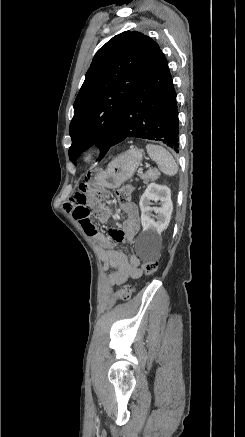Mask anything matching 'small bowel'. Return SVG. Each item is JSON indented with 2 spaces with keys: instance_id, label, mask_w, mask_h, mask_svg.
<instances>
[{
  "instance_id": "obj_1",
  "label": "small bowel",
  "mask_w": 245,
  "mask_h": 437,
  "mask_svg": "<svg viewBox=\"0 0 245 437\" xmlns=\"http://www.w3.org/2000/svg\"><path fill=\"white\" fill-rule=\"evenodd\" d=\"M77 192L65 204V210L76 219L85 233L90 236L104 260V271L112 270L109 275L111 285H122L130 278L141 275L139 258L136 255L128 256L121 250L114 248V242L132 243L140 228V218L137 206L134 203L121 204L120 209L125 213L126 219L121 228H112L109 235L99 231L90 218L91 206L86 203V192L90 191L89 183H78ZM113 209H108L98 217L100 223H105Z\"/></svg>"
}]
</instances>
